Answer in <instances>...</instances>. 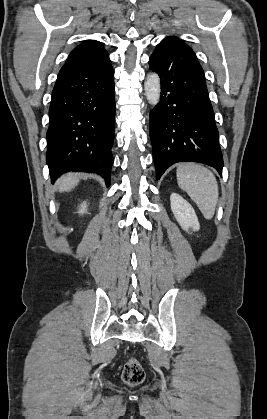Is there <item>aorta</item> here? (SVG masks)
I'll list each match as a JSON object with an SVG mask.
<instances>
[{"mask_svg":"<svg viewBox=\"0 0 267 419\" xmlns=\"http://www.w3.org/2000/svg\"><path fill=\"white\" fill-rule=\"evenodd\" d=\"M145 95L148 102L155 106L160 101V78L155 72H151L147 75L144 83Z\"/></svg>","mask_w":267,"mask_h":419,"instance_id":"obj_1","label":"aorta"}]
</instances>
